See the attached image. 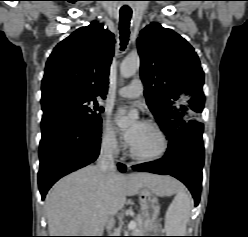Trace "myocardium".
I'll return each instance as SVG.
<instances>
[{"label":"myocardium","mask_w":248,"mask_h":237,"mask_svg":"<svg viewBox=\"0 0 248 237\" xmlns=\"http://www.w3.org/2000/svg\"><path fill=\"white\" fill-rule=\"evenodd\" d=\"M145 125H147L151 129H153L156 132V134L158 135V137L160 139V144H161L159 150L157 152H155L154 154L142 155V154L136 152L130 146L129 152H130V155L136 160H139L142 162H151V161H155V160L162 158L166 154V152L169 148V142H168V139H167L165 132L160 127V125H158L157 123H155L153 121H146Z\"/></svg>","instance_id":"myocardium-1"}]
</instances>
